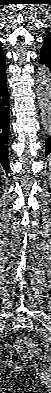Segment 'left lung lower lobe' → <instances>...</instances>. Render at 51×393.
<instances>
[{"label":"left lung lower lobe","instance_id":"obj_1","mask_svg":"<svg viewBox=\"0 0 51 393\" xmlns=\"http://www.w3.org/2000/svg\"><path fill=\"white\" fill-rule=\"evenodd\" d=\"M39 63L45 65L49 71L51 72V56L44 52H40V60ZM51 153V136H49L46 140V155Z\"/></svg>","mask_w":51,"mask_h":393}]
</instances>
